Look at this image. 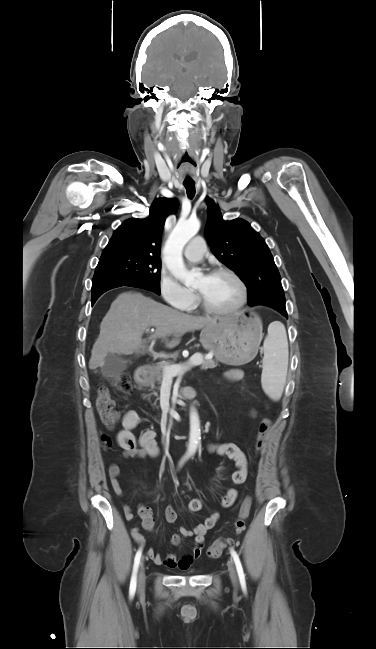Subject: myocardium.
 I'll return each instance as SVG.
<instances>
[{"label": "myocardium", "instance_id": "obj_1", "mask_svg": "<svg viewBox=\"0 0 376 649\" xmlns=\"http://www.w3.org/2000/svg\"><path fill=\"white\" fill-rule=\"evenodd\" d=\"M224 273L229 275L233 280L237 283L239 290H240V297L237 303L229 308L226 309H217L208 304V302L205 300L203 295L199 291L196 292V300L198 302V305L207 313L212 314V315H217V316H226V315H232L237 313L239 310L243 308V306L247 302L248 298V291H247V286L243 279L231 268L225 267V266H217L213 267L209 272L208 275H214V274H220Z\"/></svg>", "mask_w": 376, "mask_h": 649}]
</instances>
